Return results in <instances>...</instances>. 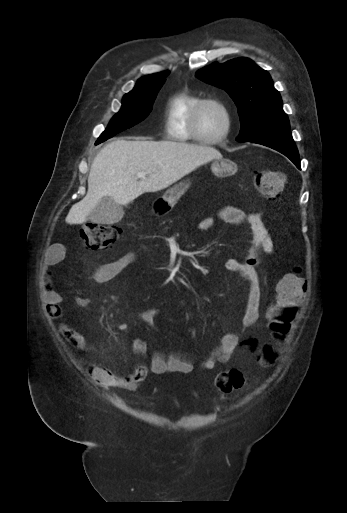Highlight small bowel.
<instances>
[{
	"label": "small bowel",
	"instance_id": "small-bowel-1",
	"mask_svg": "<svg viewBox=\"0 0 347 513\" xmlns=\"http://www.w3.org/2000/svg\"><path fill=\"white\" fill-rule=\"evenodd\" d=\"M216 218L239 228H247L252 235L251 248L243 260H229L225 263V269L240 275L247 285V299L244 312L241 317L239 329L222 335L218 344L211 349L202 362L206 370L214 369L219 363L229 362L234 355L251 345V337L248 329L253 326L259 318L260 289L259 278L256 267L261 263L264 255L273 252V243L269 232L261 219L260 214H245L242 210L225 206L216 213ZM215 225L213 217L203 218L198 228L204 231L212 229ZM62 245L51 246L48 255L44 258L39 275V288L47 311L54 318H61L63 308L61 306L62 295L54 288L51 268L61 261ZM137 254L129 252L115 261L99 266L93 274L96 283H105L137 262ZM79 307L88 305L87 299L81 298L76 301ZM160 314L159 308H151L141 314V319L149 326L155 325V320ZM60 331L80 350L89 351V345L83 335L66 324L60 325ZM132 350L137 357H144L147 354V342L136 338L132 342ZM276 361V360H275ZM91 378L102 385L109 387H124L135 389L145 379L148 372L154 374L164 373H189L193 370V363L190 359L174 352H156L152 355L149 366L137 364L132 373L125 378L117 377L114 373L104 367L87 366Z\"/></svg>",
	"mask_w": 347,
	"mask_h": 513
}]
</instances>
